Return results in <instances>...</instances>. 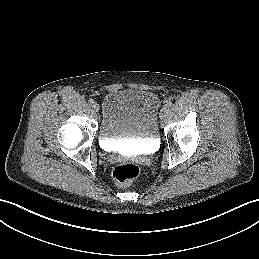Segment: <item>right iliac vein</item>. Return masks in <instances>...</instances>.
<instances>
[{
	"label": "right iliac vein",
	"instance_id": "obj_1",
	"mask_svg": "<svg viewBox=\"0 0 259 259\" xmlns=\"http://www.w3.org/2000/svg\"><path fill=\"white\" fill-rule=\"evenodd\" d=\"M92 108H93V110H94L95 112H98V111H99V105H98L97 103H94V104L92 105Z\"/></svg>",
	"mask_w": 259,
	"mask_h": 259
}]
</instances>
